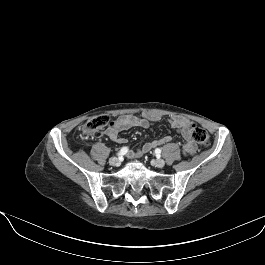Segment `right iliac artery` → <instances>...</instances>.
I'll list each match as a JSON object with an SVG mask.
<instances>
[{"label": "right iliac artery", "instance_id": "82829eb1", "mask_svg": "<svg viewBox=\"0 0 265 265\" xmlns=\"http://www.w3.org/2000/svg\"><path fill=\"white\" fill-rule=\"evenodd\" d=\"M128 151L127 147H123L120 149V151L117 153V156H122L124 154H126V152Z\"/></svg>", "mask_w": 265, "mask_h": 265}]
</instances>
